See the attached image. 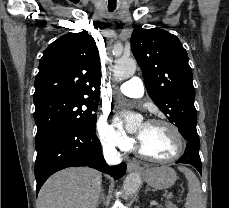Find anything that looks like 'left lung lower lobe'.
Segmentation results:
<instances>
[{"label": "left lung lower lobe", "instance_id": "left-lung-lower-lobe-1", "mask_svg": "<svg viewBox=\"0 0 229 208\" xmlns=\"http://www.w3.org/2000/svg\"><path fill=\"white\" fill-rule=\"evenodd\" d=\"M181 135L187 140L184 155L176 163L190 164L201 174V159L199 156V136L196 129L187 130Z\"/></svg>", "mask_w": 229, "mask_h": 208}]
</instances>
